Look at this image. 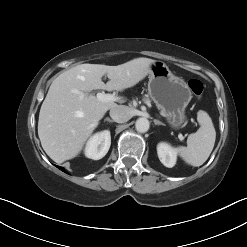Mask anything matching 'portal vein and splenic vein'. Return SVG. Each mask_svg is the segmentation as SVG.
I'll return each instance as SVG.
<instances>
[{
	"instance_id": "obj_1",
	"label": "portal vein and splenic vein",
	"mask_w": 247,
	"mask_h": 247,
	"mask_svg": "<svg viewBox=\"0 0 247 247\" xmlns=\"http://www.w3.org/2000/svg\"><path fill=\"white\" fill-rule=\"evenodd\" d=\"M96 99L101 102H114L118 100V98L114 94H105V93H97ZM179 139L183 141L184 137L180 135Z\"/></svg>"
}]
</instances>
